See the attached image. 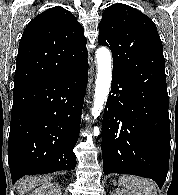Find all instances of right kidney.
<instances>
[{"instance_id":"ca27d5eb","label":"right kidney","mask_w":178,"mask_h":195,"mask_svg":"<svg viewBox=\"0 0 178 195\" xmlns=\"http://www.w3.org/2000/svg\"><path fill=\"white\" fill-rule=\"evenodd\" d=\"M29 195H62V192L58 184L47 183L35 189Z\"/></svg>"}]
</instances>
